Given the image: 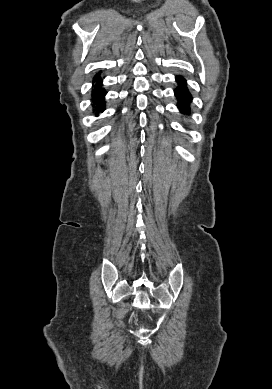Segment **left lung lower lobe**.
<instances>
[{
  "label": "left lung lower lobe",
  "mask_w": 272,
  "mask_h": 389,
  "mask_svg": "<svg viewBox=\"0 0 272 389\" xmlns=\"http://www.w3.org/2000/svg\"><path fill=\"white\" fill-rule=\"evenodd\" d=\"M176 80L179 86L175 89V96L178 99V108L183 114H190V103L192 101V96L186 87V80L177 76Z\"/></svg>",
  "instance_id": "obj_1"
}]
</instances>
